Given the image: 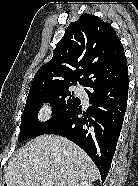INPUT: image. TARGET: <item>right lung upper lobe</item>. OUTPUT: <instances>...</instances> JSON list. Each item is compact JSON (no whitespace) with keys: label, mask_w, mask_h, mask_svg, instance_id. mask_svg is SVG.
Returning <instances> with one entry per match:
<instances>
[{"label":"right lung upper lobe","mask_w":138,"mask_h":186,"mask_svg":"<svg viewBox=\"0 0 138 186\" xmlns=\"http://www.w3.org/2000/svg\"><path fill=\"white\" fill-rule=\"evenodd\" d=\"M128 78L124 49L114 28L92 14L70 23L53 58L34 76L29 93L67 85L116 83Z\"/></svg>","instance_id":"right-lung-upper-lobe-1"}]
</instances>
